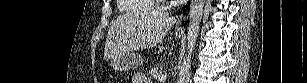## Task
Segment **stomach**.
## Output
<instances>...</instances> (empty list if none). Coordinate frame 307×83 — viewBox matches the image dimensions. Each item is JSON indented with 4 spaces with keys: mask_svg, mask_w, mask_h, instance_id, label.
I'll return each instance as SVG.
<instances>
[{
    "mask_svg": "<svg viewBox=\"0 0 307 83\" xmlns=\"http://www.w3.org/2000/svg\"><path fill=\"white\" fill-rule=\"evenodd\" d=\"M176 37L180 38L181 33L177 32ZM142 59L134 54L118 55L111 58V66L114 70L124 72L138 67Z\"/></svg>",
    "mask_w": 307,
    "mask_h": 83,
    "instance_id": "obj_1",
    "label": "stomach"
}]
</instances>
